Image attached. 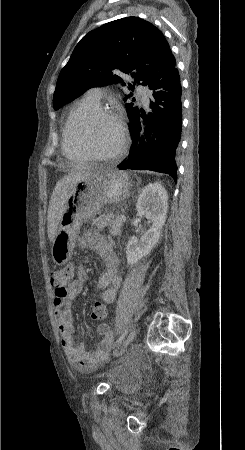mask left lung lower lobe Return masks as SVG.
Instances as JSON below:
<instances>
[{
  "mask_svg": "<svg viewBox=\"0 0 245 450\" xmlns=\"http://www.w3.org/2000/svg\"><path fill=\"white\" fill-rule=\"evenodd\" d=\"M151 112L138 111L130 123L131 152L120 170H152L167 173L176 181V152L181 136V83L172 55L150 80Z\"/></svg>",
  "mask_w": 245,
  "mask_h": 450,
  "instance_id": "left-lung-lower-lobe-1",
  "label": "left lung lower lobe"
}]
</instances>
